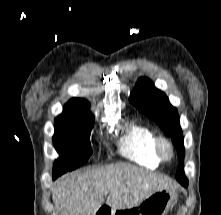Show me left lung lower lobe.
<instances>
[{"mask_svg": "<svg viewBox=\"0 0 221 215\" xmlns=\"http://www.w3.org/2000/svg\"><path fill=\"white\" fill-rule=\"evenodd\" d=\"M184 187L188 186V182L183 180H178Z\"/></svg>", "mask_w": 221, "mask_h": 215, "instance_id": "1", "label": "left lung lower lobe"}]
</instances>
